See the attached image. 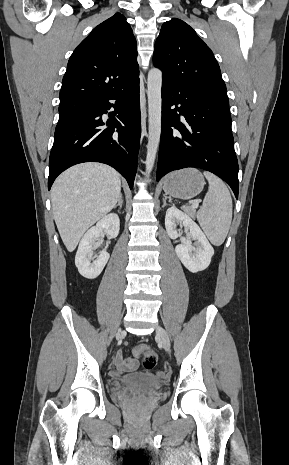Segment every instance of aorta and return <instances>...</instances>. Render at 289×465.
Masks as SVG:
<instances>
[{"label":"aorta","mask_w":289,"mask_h":465,"mask_svg":"<svg viewBox=\"0 0 289 465\" xmlns=\"http://www.w3.org/2000/svg\"><path fill=\"white\" fill-rule=\"evenodd\" d=\"M148 95V114H149V136L147 144L146 156V176L154 166L161 135V87H162V71L158 68H152L148 73L147 83Z\"/></svg>","instance_id":"1"}]
</instances>
